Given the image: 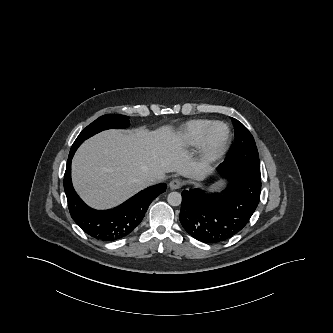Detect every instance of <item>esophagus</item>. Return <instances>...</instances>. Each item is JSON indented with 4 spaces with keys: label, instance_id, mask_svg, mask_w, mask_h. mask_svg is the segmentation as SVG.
Here are the masks:
<instances>
[{
    "label": "esophagus",
    "instance_id": "34e87169",
    "mask_svg": "<svg viewBox=\"0 0 333 333\" xmlns=\"http://www.w3.org/2000/svg\"><path fill=\"white\" fill-rule=\"evenodd\" d=\"M182 186V181L180 179H173L170 181L169 183V187L172 189V190H176V189H179L181 188Z\"/></svg>",
    "mask_w": 333,
    "mask_h": 333
}]
</instances>
